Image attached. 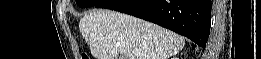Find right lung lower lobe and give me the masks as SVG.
<instances>
[{"label":"right lung lower lobe","mask_w":261,"mask_h":59,"mask_svg":"<svg viewBox=\"0 0 261 59\" xmlns=\"http://www.w3.org/2000/svg\"><path fill=\"white\" fill-rule=\"evenodd\" d=\"M106 8L156 23L205 48L210 32L211 0H102Z\"/></svg>","instance_id":"obj_1"}]
</instances>
